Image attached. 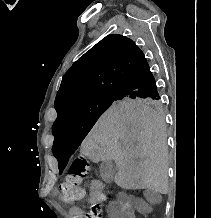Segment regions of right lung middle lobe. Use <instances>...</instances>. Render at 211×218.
<instances>
[{"label":"right lung middle lobe","mask_w":211,"mask_h":218,"mask_svg":"<svg viewBox=\"0 0 211 218\" xmlns=\"http://www.w3.org/2000/svg\"><path fill=\"white\" fill-rule=\"evenodd\" d=\"M148 108L162 110L158 97H120L116 93L86 100L60 114L52 127L54 144H67L78 147L98 118L109 108ZM62 169H60V173Z\"/></svg>","instance_id":"dd1d6c3e"}]
</instances>
